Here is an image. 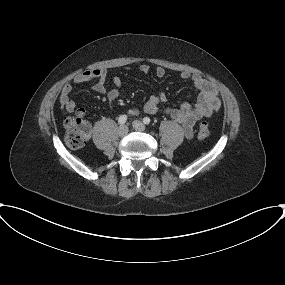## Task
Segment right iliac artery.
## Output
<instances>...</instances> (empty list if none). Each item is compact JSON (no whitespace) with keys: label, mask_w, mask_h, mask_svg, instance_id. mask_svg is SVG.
I'll use <instances>...</instances> for the list:
<instances>
[{"label":"right iliac artery","mask_w":285,"mask_h":285,"mask_svg":"<svg viewBox=\"0 0 285 285\" xmlns=\"http://www.w3.org/2000/svg\"><path fill=\"white\" fill-rule=\"evenodd\" d=\"M126 121H127V115H121V116L119 117V119H118V122H119L120 125L125 124Z\"/></svg>","instance_id":"1"}]
</instances>
